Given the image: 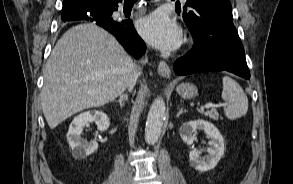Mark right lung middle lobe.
I'll return each mask as SVG.
<instances>
[{"mask_svg":"<svg viewBox=\"0 0 293 184\" xmlns=\"http://www.w3.org/2000/svg\"><path fill=\"white\" fill-rule=\"evenodd\" d=\"M83 3H84V5H87V6L90 5V2H88V1H83Z\"/></svg>","mask_w":293,"mask_h":184,"instance_id":"1","label":"right lung middle lobe"}]
</instances>
